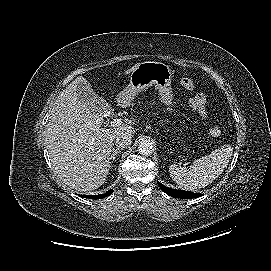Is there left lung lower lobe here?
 Here are the masks:
<instances>
[{
    "mask_svg": "<svg viewBox=\"0 0 271 271\" xmlns=\"http://www.w3.org/2000/svg\"><path fill=\"white\" fill-rule=\"evenodd\" d=\"M160 188L169 196L173 198H185V199H192V198H197L199 196H202V194L198 193H193L189 191H184V190H176V189H171L168 188L164 185H162L160 182H157Z\"/></svg>",
    "mask_w": 271,
    "mask_h": 271,
    "instance_id": "left-lung-lower-lobe-1",
    "label": "left lung lower lobe"
}]
</instances>
